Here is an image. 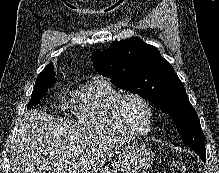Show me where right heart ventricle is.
I'll list each match as a JSON object with an SVG mask.
<instances>
[{
    "instance_id": "1",
    "label": "right heart ventricle",
    "mask_w": 219,
    "mask_h": 173,
    "mask_svg": "<svg viewBox=\"0 0 219 173\" xmlns=\"http://www.w3.org/2000/svg\"><path fill=\"white\" fill-rule=\"evenodd\" d=\"M120 92L105 78L94 77L71 103V113L82 127L108 135H124L111 117V104Z\"/></svg>"
}]
</instances>
